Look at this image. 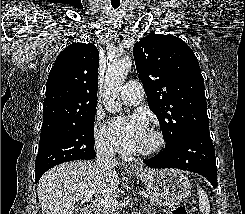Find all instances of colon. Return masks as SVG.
I'll list each match as a JSON object with an SVG mask.
<instances>
[{"instance_id": "obj_1", "label": "colon", "mask_w": 245, "mask_h": 214, "mask_svg": "<svg viewBox=\"0 0 245 214\" xmlns=\"http://www.w3.org/2000/svg\"><path fill=\"white\" fill-rule=\"evenodd\" d=\"M169 214H188L185 205H175L169 208Z\"/></svg>"}]
</instances>
